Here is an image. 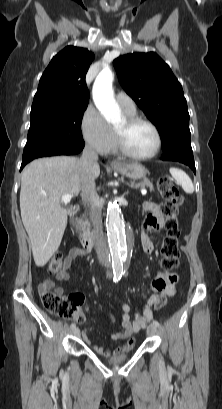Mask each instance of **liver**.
Masks as SVG:
<instances>
[{
	"instance_id": "6515ba94",
	"label": "liver",
	"mask_w": 222,
	"mask_h": 409,
	"mask_svg": "<svg viewBox=\"0 0 222 409\" xmlns=\"http://www.w3.org/2000/svg\"><path fill=\"white\" fill-rule=\"evenodd\" d=\"M79 161L68 156L39 158L22 172L21 218L38 267L46 265L60 246L69 213L61 206L62 196L82 191L85 175ZM91 174L94 179L99 176L98 164Z\"/></svg>"
}]
</instances>
